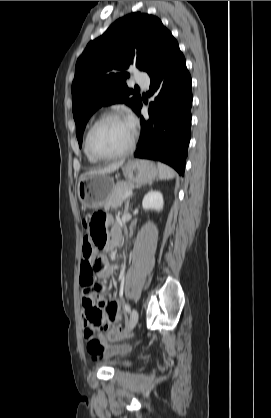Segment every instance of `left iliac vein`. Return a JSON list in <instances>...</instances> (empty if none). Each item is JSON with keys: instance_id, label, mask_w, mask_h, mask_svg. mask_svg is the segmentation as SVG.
Segmentation results:
<instances>
[{"instance_id": "obj_1", "label": "left iliac vein", "mask_w": 271, "mask_h": 418, "mask_svg": "<svg viewBox=\"0 0 271 418\" xmlns=\"http://www.w3.org/2000/svg\"><path fill=\"white\" fill-rule=\"evenodd\" d=\"M138 322V312L136 309H133L127 324V331H131Z\"/></svg>"}]
</instances>
